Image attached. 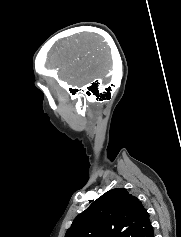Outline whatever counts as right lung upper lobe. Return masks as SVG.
Instances as JSON below:
<instances>
[{
  "mask_svg": "<svg viewBox=\"0 0 181 237\" xmlns=\"http://www.w3.org/2000/svg\"><path fill=\"white\" fill-rule=\"evenodd\" d=\"M149 214L125 188L111 189L73 221L65 237H152Z\"/></svg>",
  "mask_w": 181,
  "mask_h": 237,
  "instance_id": "1",
  "label": "right lung upper lobe"
}]
</instances>
